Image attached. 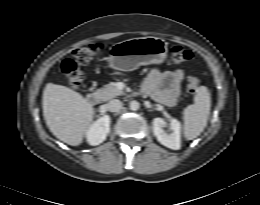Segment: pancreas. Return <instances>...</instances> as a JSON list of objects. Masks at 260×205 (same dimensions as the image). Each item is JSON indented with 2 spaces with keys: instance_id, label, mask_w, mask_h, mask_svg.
Masks as SVG:
<instances>
[{
  "instance_id": "obj_1",
  "label": "pancreas",
  "mask_w": 260,
  "mask_h": 205,
  "mask_svg": "<svg viewBox=\"0 0 260 205\" xmlns=\"http://www.w3.org/2000/svg\"><path fill=\"white\" fill-rule=\"evenodd\" d=\"M96 93L102 101H108L116 96L122 95L123 91L115 86H105L98 89Z\"/></svg>"
}]
</instances>
